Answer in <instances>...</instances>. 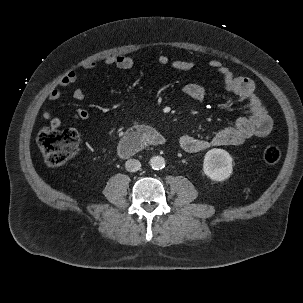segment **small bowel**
I'll list each match as a JSON object with an SVG mask.
<instances>
[{
    "instance_id": "1",
    "label": "small bowel",
    "mask_w": 303,
    "mask_h": 303,
    "mask_svg": "<svg viewBox=\"0 0 303 303\" xmlns=\"http://www.w3.org/2000/svg\"><path fill=\"white\" fill-rule=\"evenodd\" d=\"M157 62L162 66H171L178 71H189L195 66L194 61L170 58L166 54H160ZM105 64L123 70H130L134 66V60L129 56L117 55L105 59ZM208 66L216 70L223 79L225 90L246 102L247 114L239 116L232 125H229L210 138H199L184 134L179 137V146L186 152L197 153L206 150L211 146L240 145L252 137H265L272 130V120L268 114L262 98L256 93L255 85L250 78L235 76L230 68L218 60H210ZM96 67L95 62H88L84 65L86 70ZM78 75L75 71L67 72L59 81V88H53L48 93L52 101L62 96L60 88L71 86L77 81ZM183 93L193 100H203L207 96L206 88L200 83H188L182 88ZM73 96L77 100H83V91L76 88ZM72 117L76 120H86L89 113L85 108H77ZM43 118L51 127L59 128L62 120L56 117L50 110L43 112Z\"/></svg>"
}]
</instances>
